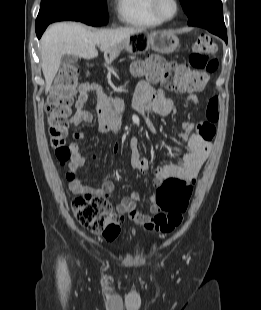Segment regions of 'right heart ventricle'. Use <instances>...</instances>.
Returning <instances> with one entry per match:
<instances>
[{"mask_svg":"<svg viewBox=\"0 0 261 310\" xmlns=\"http://www.w3.org/2000/svg\"><path fill=\"white\" fill-rule=\"evenodd\" d=\"M117 17L123 24L152 28L162 24L151 9V0H116Z\"/></svg>","mask_w":261,"mask_h":310,"instance_id":"right-heart-ventricle-1","label":"right heart ventricle"}]
</instances>
